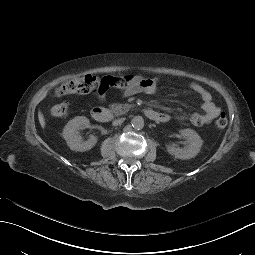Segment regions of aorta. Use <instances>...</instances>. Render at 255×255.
Segmentation results:
<instances>
[{"mask_svg":"<svg viewBox=\"0 0 255 255\" xmlns=\"http://www.w3.org/2000/svg\"><path fill=\"white\" fill-rule=\"evenodd\" d=\"M132 127L140 130L144 127V119L141 116H135L131 120Z\"/></svg>","mask_w":255,"mask_h":255,"instance_id":"aorta-1","label":"aorta"}]
</instances>
